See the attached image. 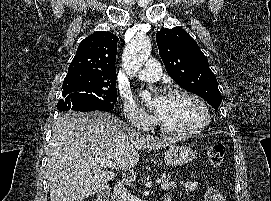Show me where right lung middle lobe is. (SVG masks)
Here are the masks:
<instances>
[{"mask_svg":"<svg viewBox=\"0 0 271 201\" xmlns=\"http://www.w3.org/2000/svg\"><path fill=\"white\" fill-rule=\"evenodd\" d=\"M62 88L64 98H80L89 102L117 101L116 74L68 72Z\"/></svg>","mask_w":271,"mask_h":201,"instance_id":"obj_1","label":"right lung middle lobe"}]
</instances>
